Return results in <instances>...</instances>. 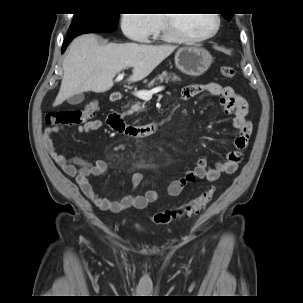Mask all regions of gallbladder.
I'll use <instances>...</instances> for the list:
<instances>
[{
    "label": "gallbladder",
    "instance_id": "1",
    "mask_svg": "<svg viewBox=\"0 0 303 303\" xmlns=\"http://www.w3.org/2000/svg\"><path fill=\"white\" fill-rule=\"evenodd\" d=\"M84 100V95L83 94H76L70 98H68V103L71 105H77L80 104Z\"/></svg>",
    "mask_w": 303,
    "mask_h": 303
}]
</instances>
